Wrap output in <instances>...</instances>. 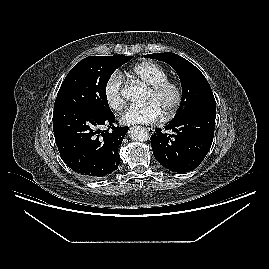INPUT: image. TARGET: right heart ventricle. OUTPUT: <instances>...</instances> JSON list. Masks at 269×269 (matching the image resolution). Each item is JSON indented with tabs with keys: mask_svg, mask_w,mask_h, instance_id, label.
Returning a JSON list of instances; mask_svg holds the SVG:
<instances>
[{
	"mask_svg": "<svg viewBox=\"0 0 269 269\" xmlns=\"http://www.w3.org/2000/svg\"><path fill=\"white\" fill-rule=\"evenodd\" d=\"M131 75L148 86L169 78V72L163 66L146 61L132 67Z\"/></svg>",
	"mask_w": 269,
	"mask_h": 269,
	"instance_id": "1",
	"label": "right heart ventricle"
}]
</instances>
